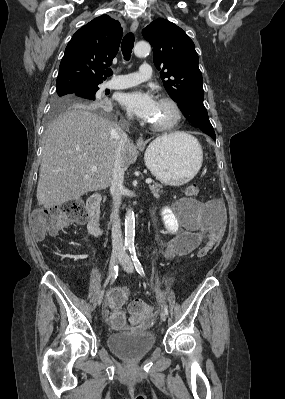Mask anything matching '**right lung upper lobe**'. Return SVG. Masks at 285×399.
Masks as SVG:
<instances>
[{
	"label": "right lung upper lobe",
	"instance_id": "cb5924a9",
	"mask_svg": "<svg viewBox=\"0 0 285 399\" xmlns=\"http://www.w3.org/2000/svg\"><path fill=\"white\" fill-rule=\"evenodd\" d=\"M123 35L120 23L101 15L80 28L68 43L59 67L56 90L97 87L112 64Z\"/></svg>",
	"mask_w": 285,
	"mask_h": 399
}]
</instances>
